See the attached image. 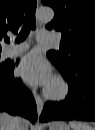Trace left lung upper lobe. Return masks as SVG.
<instances>
[{"label": "left lung upper lobe", "mask_w": 95, "mask_h": 130, "mask_svg": "<svg viewBox=\"0 0 95 130\" xmlns=\"http://www.w3.org/2000/svg\"><path fill=\"white\" fill-rule=\"evenodd\" d=\"M54 10L49 30L61 32L62 47L47 52L58 67L69 70L80 64H95V0H42Z\"/></svg>", "instance_id": "5c2ea615"}]
</instances>
